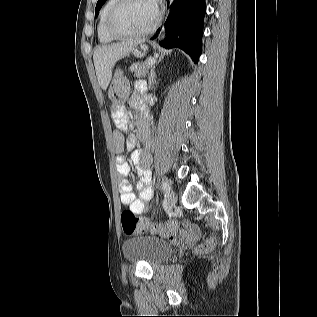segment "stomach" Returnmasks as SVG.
Segmentation results:
<instances>
[{"label":"stomach","instance_id":"0dacf381","mask_svg":"<svg viewBox=\"0 0 317 317\" xmlns=\"http://www.w3.org/2000/svg\"><path fill=\"white\" fill-rule=\"evenodd\" d=\"M148 47L145 44H140V48L137 45L131 50V52L137 57H143ZM130 70V63H116V70Z\"/></svg>","mask_w":317,"mask_h":317}]
</instances>
